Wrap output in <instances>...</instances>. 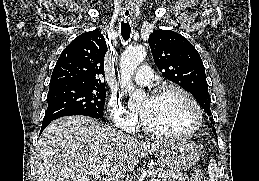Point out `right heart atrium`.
<instances>
[{
  "instance_id": "right-heart-atrium-1",
  "label": "right heart atrium",
  "mask_w": 259,
  "mask_h": 181,
  "mask_svg": "<svg viewBox=\"0 0 259 181\" xmlns=\"http://www.w3.org/2000/svg\"><path fill=\"white\" fill-rule=\"evenodd\" d=\"M108 115L113 125L127 132L135 131L138 116L129 111L117 96H111L107 103Z\"/></svg>"
}]
</instances>
